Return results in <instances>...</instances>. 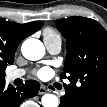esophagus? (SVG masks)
I'll list each match as a JSON object with an SVG mask.
<instances>
[{"mask_svg": "<svg viewBox=\"0 0 107 107\" xmlns=\"http://www.w3.org/2000/svg\"><path fill=\"white\" fill-rule=\"evenodd\" d=\"M46 92H47V89H46L44 86H41L40 89H39L38 94H39V95H43V94H45Z\"/></svg>", "mask_w": 107, "mask_h": 107, "instance_id": "34e87169", "label": "esophagus"}]
</instances>
